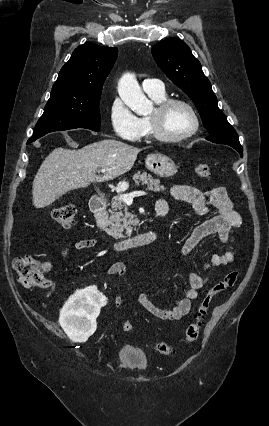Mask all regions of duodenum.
Wrapping results in <instances>:
<instances>
[{
  "label": "duodenum",
  "instance_id": "410a0bca",
  "mask_svg": "<svg viewBox=\"0 0 269 426\" xmlns=\"http://www.w3.org/2000/svg\"><path fill=\"white\" fill-rule=\"evenodd\" d=\"M107 197L104 193L98 192L94 194L90 200V208L93 213L95 222L99 228H105L106 222V207ZM158 218H164L167 214V209L164 207L157 208L156 210ZM157 239V233L155 231H149L136 235L128 239L118 240L115 243V247L118 251H127L134 248L142 247L154 242Z\"/></svg>",
  "mask_w": 269,
  "mask_h": 426
}]
</instances>
